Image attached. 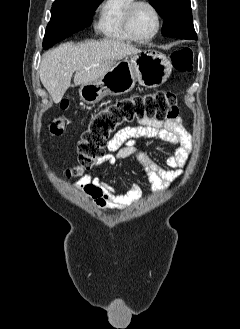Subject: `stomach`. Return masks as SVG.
Wrapping results in <instances>:
<instances>
[{
    "label": "stomach",
    "mask_w": 240,
    "mask_h": 329,
    "mask_svg": "<svg viewBox=\"0 0 240 329\" xmlns=\"http://www.w3.org/2000/svg\"><path fill=\"white\" fill-rule=\"evenodd\" d=\"M171 71L172 65L163 53L141 51L118 61L96 81L81 85L80 99L87 104H95L107 95L130 92L136 82L146 88H156L166 82Z\"/></svg>",
    "instance_id": "obj_1"
}]
</instances>
